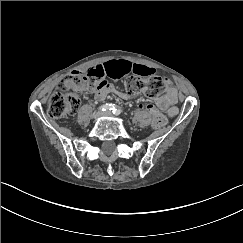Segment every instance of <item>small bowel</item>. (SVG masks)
I'll use <instances>...</instances> for the list:
<instances>
[{"instance_id": "obj_1", "label": "small bowel", "mask_w": 243, "mask_h": 243, "mask_svg": "<svg viewBox=\"0 0 243 243\" xmlns=\"http://www.w3.org/2000/svg\"><path fill=\"white\" fill-rule=\"evenodd\" d=\"M87 73L103 78L104 76H109L113 79H119L130 73H134L140 76H150L155 74V70L151 67L135 64L127 60H117L109 61L103 65H97L92 67ZM117 93L123 95L121 92L117 91L112 85L104 82L95 92V99L97 101H102L106 96L111 93ZM177 103V97L174 93H168L156 100L157 106L166 111L171 117L178 114V108L175 106Z\"/></svg>"}]
</instances>
